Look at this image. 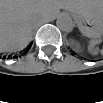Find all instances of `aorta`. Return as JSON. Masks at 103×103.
Masks as SVG:
<instances>
[{"label": "aorta", "instance_id": "aorta-1", "mask_svg": "<svg viewBox=\"0 0 103 103\" xmlns=\"http://www.w3.org/2000/svg\"><path fill=\"white\" fill-rule=\"evenodd\" d=\"M57 27L66 32H70L73 29V20L67 14H61L56 20Z\"/></svg>", "mask_w": 103, "mask_h": 103}]
</instances>
